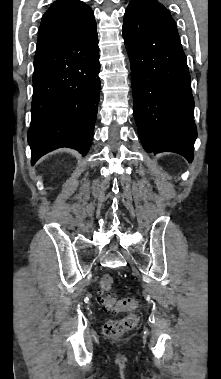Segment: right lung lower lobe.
<instances>
[{"mask_svg":"<svg viewBox=\"0 0 221 379\" xmlns=\"http://www.w3.org/2000/svg\"><path fill=\"white\" fill-rule=\"evenodd\" d=\"M99 72L96 22L79 37L35 54L27 135L32 165L60 147L87 154L99 103Z\"/></svg>","mask_w":221,"mask_h":379,"instance_id":"98d812e1","label":"right lung lower lobe"}]
</instances>
